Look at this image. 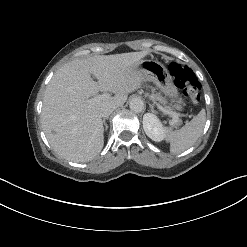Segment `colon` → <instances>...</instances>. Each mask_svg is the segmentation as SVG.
I'll use <instances>...</instances> for the list:
<instances>
[{"instance_id":"obj_1","label":"colon","mask_w":247,"mask_h":247,"mask_svg":"<svg viewBox=\"0 0 247 247\" xmlns=\"http://www.w3.org/2000/svg\"><path fill=\"white\" fill-rule=\"evenodd\" d=\"M169 72L175 85L182 90L183 94L193 103H197L200 100L201 85L192 69L172 62L169 65Z\"/></svg>"}]
</instances>
